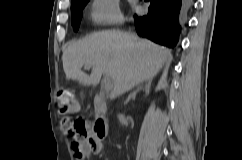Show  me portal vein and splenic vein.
I'll list each match as a JSON object with an SVG mask.
<instances>
[{
	"mask_svg": "<svg viewBox=\"0 0 242 160\" xmlns=\"http://www.w3.org/2000/svg\"><path fill=\"white\" fill-rule=\"evenodd\" d=\"M87 68H90L91 66L89 65H86ZM113 87V84H112V81L110 79L109 76H106L105 77V80H104V88H105V91H109L111 88Z\"/></svg>",
	"mask_w": 242,
	"mask_h": 160,
	"instance_id": "1",
	"label": "portal vein and splenic vein"
}]
</instances>
